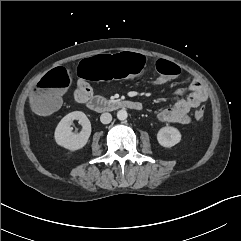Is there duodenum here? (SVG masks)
<instances>
[{
    "label": "duodenum",
    "instance_id": "410a0bca",
    "mask_svg": "<svg viewBox=\"0 0 241 241\" xmlns=\"http://www.w3.org/2000/svg\"><path fill=\"white\" fill-rule=\"evenodd\" d=\"M87 103V107L96 112H111L120 109H136L138 104L128 100H105L102 98H92Z\"/></svg>",
    "mask_w": 241,
    "mask_h": 241
}]
</instances>
